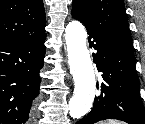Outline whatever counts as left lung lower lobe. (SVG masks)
Here are the masks:
<instances>
[{"instance_id": "1", "label": "left lung lower lobe", "mask_w": 145, "mask_h": 124, "mask_svg": "<svg viewBox=\"0 0 145 124\" xmlns=\"http://www.w3.org/2000/svg\"><path fill=\"white\" fill-rule=\"evenodd\" d=\"M87 32L89 46L97 51L93 60L102 72L103 82L91 112L76 124H94L105 119L145 124L134 54L89 29Z\"/></svg>"}]
</instances>
